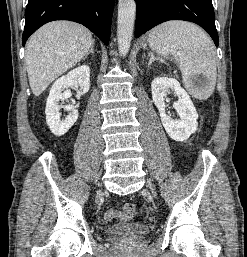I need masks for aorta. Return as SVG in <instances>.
Returning a JSON list of instances; mask_svg holds the SVG:
<instances>
[{"instance_id":"1","label":"aorta","mask_w":247,"mask_h":257,"mask_svg":"<svg viewBox=\"0 0 247 257\" xmlns=\"http://www.w3.org/2000/svg\"><path fill=\"white\" fill-rule=\"evenodd\" d=\"M135 14V0H118L117 41L122 56L127 55L131 46Z\"/></svg>"}]
</instances>
